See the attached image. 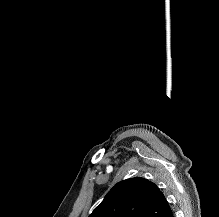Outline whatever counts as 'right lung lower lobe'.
<instances>
[{"label":"right lung lower lobe","instance_id":"right-lung-lower-lobe-1","mask_svg":"<svg viewBox=\"0 0 219 217\" xmlns=\"http://www.w3.org/2000/svg\"><path fill=\"white\" fill-rule=\"evenodd\" d=\"M170 217H174V216H173V213L170 215Z\"/></svg>","mask_w":219,"mask_h":217}]
</instances>
